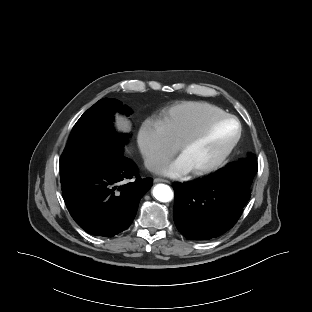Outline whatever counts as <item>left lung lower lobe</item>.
Masks as SVG:
<instances>
[{
	"label": "left lung lower lobe",
	"instance_id": "obj_1",
	"mask_svg": "<svg viewBox=\"0 0 312 312\" xmlns=\"http://www.w3.org/2000/svg\"><path fill=\"white\" fill-rule=\"evenodd\" d=\"M173 218L189 240H209L229 230L239 219L251 190L224 172L203 179L174 183Z\"/></svg>",
	"mask_w": 312,
	"mask_h": 312
}]
</instances>
